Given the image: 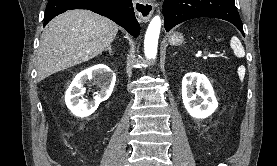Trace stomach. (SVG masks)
I'll return each mask as SVG.
<instances>
[{
	"instance_id": "stomach-1",
	"label": "stomach",
	"mask_w": 277,
	"mask_h": 166,
	"mask_svg": "<svg viewBox=\"0 0 277 166\" xmlns=\"http://www.w3.org/2000/svg\"><path fill=\"white\" fill-rule=\"evenodd\" d=\"M183 41H184V37L181 33H173L169 37V43L170 45H173V46L181 45Z\"/></svg>"
}]
</instances>
